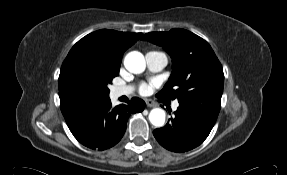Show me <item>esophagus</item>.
<instances>
[{"label": "esophagus", "mask_w": 287, "mask_h": 175, "mask_svg": "<svg viewBox=\"0 0 287 175\" xmlns=\"http://www.w3.org/2000/svg\"><path fill=\"white\" fill-rule=\"evenodd\" d=\"M145 102L148 107H156V104L150 99H147Z\"/></svg>", "instance_id": "1"}]
</instances>
